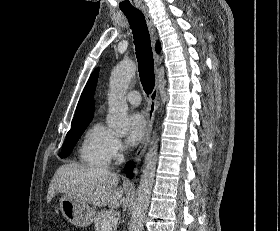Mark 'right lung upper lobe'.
<instances>
[{
  "instance_id": "cb5924a9",
  "label": "right lung upper lobe",
  "mask_w": 280,
  "mask_h": 231,
  "mask_svg": "<svg viewBox=\"0 0 280 231\" xmlns=\"http://www.w3.org/2000/svg\"><path fill=\"white\" fill-rule=\"evenodd\" d=\"M156 50L160 51V47L156 48ZM97 77H98V69L95 70L91 74V76L81 94V97H80V100H79V103L77 105V109L75 112V116L71 123V128L88 123L92 120L93 114H94L93 95H94V90L96 87Z\"/></svg>"
}]
</instances>
